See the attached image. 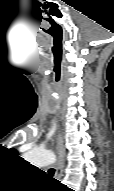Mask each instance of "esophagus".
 <instances>
[{"label": "esophagus", "mask_w": 114, "mask_h": 191, "mask_svg": "<svg viewBox=\"0 0 114 191\" xmlns=\"http://www.w3.org/2000/svg\"><path fill=\"white\" fill-rule=\"evenodd\" d=\"M57 150H58V162L55 171L56 179L60 180L62 176V171L64 167V157H65V149L63 145V137L62 134H59L57 140Z\"/></svg>", "instance_id": "esophagus-1"}]
</instances>
